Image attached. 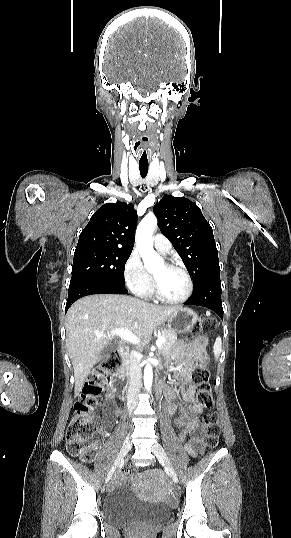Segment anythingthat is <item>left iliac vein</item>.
<instances>
[{"instance_id": "left-iliac-vein-1", "label": "left iliac vein", "mask_w": 291, "mask_h": 538, "mask_svg": "<svg viewBox=\"0 0 291 538\" xmlns=\"http://www.w3.org/2000/svg\"><path fill=\"white\" fill-rule=\"evenodd\" d=\"M152 452L160 459L163 461V463L165 464L166 468H167V471L168 473L170 474L172 480L177 483L178 482V477H177V474H176V471L169 459V457L167 456L166 452L164 451L163 447L159 444V443H155L153 444L152 446Z\"/></svg>"}]
</instances>
